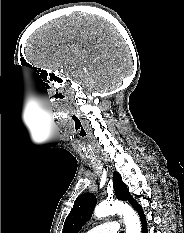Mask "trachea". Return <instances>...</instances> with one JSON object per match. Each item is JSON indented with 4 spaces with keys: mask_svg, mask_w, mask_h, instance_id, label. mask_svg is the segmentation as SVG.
<instances>
[{
    "mask_svg": "<svg viewBox=\"0 0 184 233\" xmlns=\"http://www.w3.org/2000/svg\"><path fill=\"white\" fill-rule=\"evenodd\" d=\"M80 136L82 137V138H84L85 136H86V132H85V130L82 128L81 129V131H80ZM120 233H124L123 231H121Z\"/></svg>",
    "mask_w": 184,
    "mask_h": 233,
    "instance_id": "trachea-1",
    "label": "trachea"
}]
</instances>
